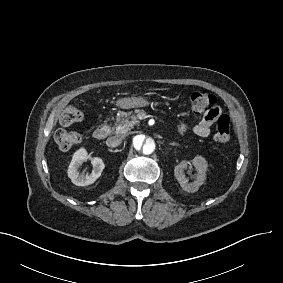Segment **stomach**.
Listing matches in <instances>:
<instances>
[{"mask_svg":"<svg viewBox=\"0 0 283 283\" xmlns=\"http://www.w3.org/2000/svg\"><path fill=\"white\" fill-rule=\"evenodd\" d=\"M114 104L119 109L128 110L132 108L138 107H146L151 104L149 99L145 98L144 96L139 97H125L117 99Z\"/></svg>","mask_w":283,"mask_h":283,"instance_id":"1","label":"stomach"}]
</instances>
